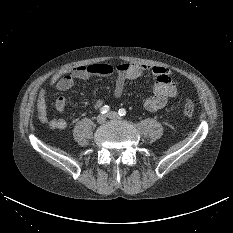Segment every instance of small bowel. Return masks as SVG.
<instances>
[{
    "label": "small bowel",
    "instance_id": "obj_1",
    "mask_svg": "<svg viewBox=\"0 0 233 233\" xmlns=\"http://www.w3.org/2000/svg\"><path fill=\"white\" fill-rule=\"evenodd\" d=\"M114 75L113 95L120 96L127 80H134L142 76H152V95L143 100V107L154 112L163 108L170 98L178 96V81L171 71L162 66H149L123 62L116 66L108 63H98L88 66H76L69 70L55 73L50 80L51 86L60 91L71 88L78 80H88L93 77H109ZM67 99L64 96L56 98L54 107L58 113H63ZM104 99L95 102L96 108H102ZM38 118L40 122L51 129L62 130L67 127V121L63 118H51L48 114L47 92L41 89L37 98Z\"/></svg>",
    "mask_w": 233,
    "mask_h": 233
}]
</instances>
